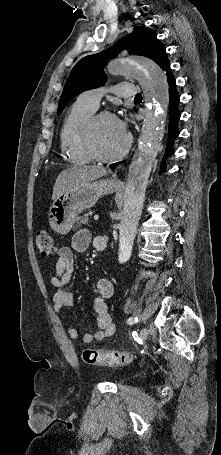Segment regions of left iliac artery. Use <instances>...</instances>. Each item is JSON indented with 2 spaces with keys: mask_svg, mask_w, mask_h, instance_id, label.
<instances>
[{
  "mask_svg": "<svg viewBox=\"0 0 221 455\" xmlns=\"http://www.w3.org/2000/svg\"><path fill=\"white\" fill-rule=\"evenodd\" d=\"M137 320H138L137 317H130V318L128 319L127 323H128L129 325H132V324L136 323Z\"/></svg>",
  "mask_w": 221,
  "mask_h": 455,
  "instance_id": "44dca946",
  "label": "left iliac artery"
}]
</instances>
